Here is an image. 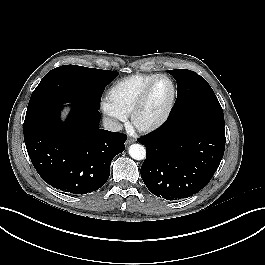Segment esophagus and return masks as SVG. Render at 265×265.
Listing matches in <instances>:
<instances>
[{"mask_svg": "<svg viewBox=\"0 0 265 265\" xmlns=\"http://www.w3.org/2000/svg\"><path fill=\"white\" fill-rule=\"evenodd\" d=\"M134 142V139L133 138H129V139H127V141H126V145H129V144H131V143H133Z\"/></svg>", "mask_w": 265, "mask_h": 265, "instance_id": "obj_1", "label": "esophagus"}]
</instances>
